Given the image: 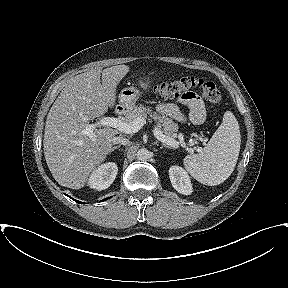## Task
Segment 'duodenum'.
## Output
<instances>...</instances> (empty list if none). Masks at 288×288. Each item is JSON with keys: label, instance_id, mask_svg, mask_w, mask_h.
I'll return each mask as SVG.
<instances>
[{"label": "duodenum", "instance_id": "obj_1", "mask_svg": "<svg viewBox=\"0 0 288 288\" xmlns=\"http://www.w3.org/2000/svg\"><path fill=\"white\" fill-rule=\"evenodd\" d=\"M115 113H116L117 115L122 114V113H123L122 108H118V109H116V110H115Z\"/></svg>", "mask_w": 288, "mask_h": 288}]
</instances>
